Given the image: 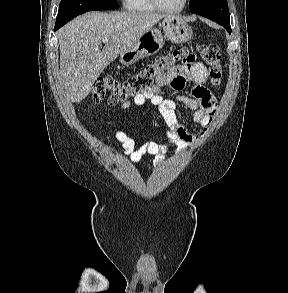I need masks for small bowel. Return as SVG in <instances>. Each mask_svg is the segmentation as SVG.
Here are the masks:
<instances>
[{
  "label": "small bowel",
  "instance_id": "c3829d8e",
  "mask_svg": "<svg viewBox=\"0 0 288 293\" xmlns=\"http://www.w3.org/2000/svg\"><path fill=\"white\" fill-rule=\"evenodd\" d=\"M207 78L206 67L195 61L194 56L190 55L182 65L160 74L153 87L134 97L133 103L137 106L150 102L157 107L165 129L162 133L163 141H148L139 147H136L134 139L125 132L119 130L114 132V137L121 144L124 154L132 163H138L146 154L160 160L169 144L186 149L196 140L197 137L190 133L179 119L177 103L185 105L192 111L194 123L204 129L210 125L216 113L217 103L214 95L203 85ZM189 81L195 83L192 97L179 95L175 99H167L163 96L166 88L170 87L175 91H181ZM128 106L129 103H124L122 108L125 109Z\"/></svg>",
  "mask_w": 288,
  "mask_h": 293
}]
</instances>
